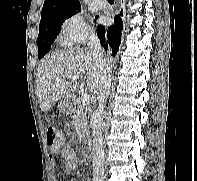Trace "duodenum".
I'll list each match as a JSON object with an SVG mask.
<instances>
[{
    "label": "duodenum",
    "mask_w": 197,
    "mask_h": 181,
    "mask_svg": "<svg viewBox=\"0 0 197 181\" xmlns=\"http://www.w3.org/2000/svg\"><path fill=\"white\" fill-rule=\"evenodd\" d=\"M86 151H87L88 154H90L91 148L90 147H87L86 148Z\"/></svg>",
    "instance_id": "1"
}]
</instances>
